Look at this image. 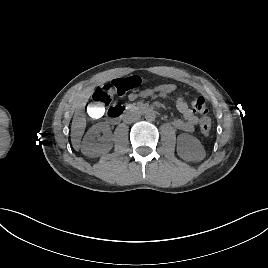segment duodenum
Returning <instances> with one entry per match:
<instances>
[{"mask_svg":"<svg viewBox=\"0 0 268 268\" xmlns=\"http://www.w3.org/2000/svg\"><path fill=\"white\" fill-rule=\"evenodd\" d=\"M154 110L146 105H114L108 109V118L111 122H119L129 114H150Z\"/></svg>","mask_w":268,"mask_h":268,"instance_id":"duodenum-1","label":"duodenum"}]
</instances>
